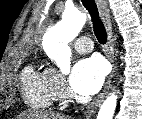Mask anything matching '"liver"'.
Wrapping results in <instances>:
<instances>
[{
    "instance_id": "1",
    "label": "liver",
    "mask_w": 142,
    "mask_h": 119,
    "mask_svg": "<svg viewBox=\"0 0 142 119\" xmlns=\"http://www.w3.org/2000/svg\"><path fill=\"white\" fill-rule=\"evenodd\" d=\"M19 119H70L69 116L55 114L54 112L33 110L25 112L19 116Z\"/></svg>"
}]
</instances>
